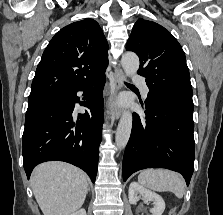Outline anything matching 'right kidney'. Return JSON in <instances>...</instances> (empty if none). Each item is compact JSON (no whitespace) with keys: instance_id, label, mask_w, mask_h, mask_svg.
I'll use <instances>...</instances> for the list:
<instances>
[{"instance_id":"ca27d5eb","label":"right kidney","mask_w":223,"mask_h":215,"mask_svg":"<svg viewBox=\"0 0 223 215\" xmlns=\"http://www.w3.org/2000/svg\"><path fill=\"white\" fill-rule=\"evenodd\" d=\"M71 215H86V209H78V211H75V213H71Z\"/></svg>"}]
</instances>
